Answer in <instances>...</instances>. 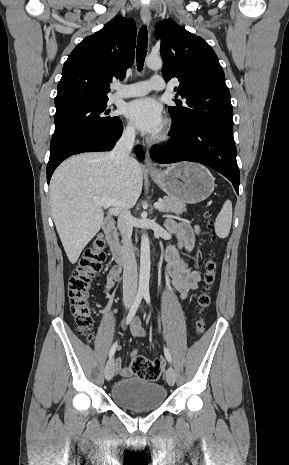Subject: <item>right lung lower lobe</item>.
<instances>
[{
	"label": "right lung lower lobe",
	"instance_id": "obj_1",
	"mask_svg": "<svg viewBox=\"0 0 289 465\" xmlns=\"http://www.w3.org/2000/svg\"><path fill=\"white\" fill-rule=\"evenodd\" d=\"M122 129V122L119 120L108 131H93L78 135L64 145L50 151L47 165L48 184L56 167L69 156L82 152L110 151L115 146V142L120 138ZM135 153L140 160L143 159L144 153L140 146L135 148Z\"/></svg>",
	"mask_w": 289,
	"mask_h": 465
}]
</instances>
